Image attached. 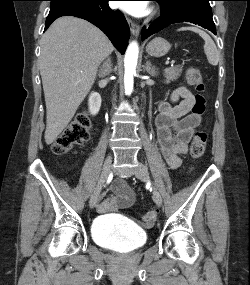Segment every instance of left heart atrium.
<instances>
[{
    "label": "left heart atrium",
    "instance_id": "obj_1",
    "mask_svg": "<svg viewBox=\"0 0 250 285\" xmlns=\"http://www.w3.org/2000/svg\"><path fill=\"white\" fill-rule=\"evenodd\" d=\"M116 6L133 16H143L149 10L145 1H119L116 3Z\"/></svg>",
    "mask_w": 250,
    "mask_h": 285
}]
</instances>
